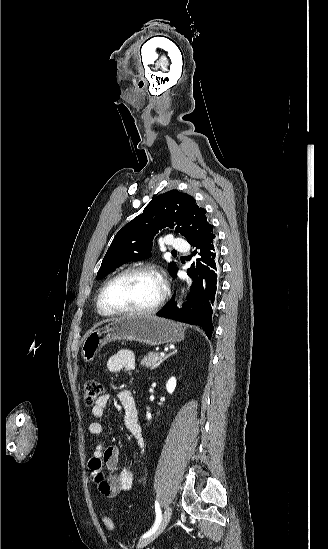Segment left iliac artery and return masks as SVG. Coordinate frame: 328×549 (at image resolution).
<instances>
[{
  "mask_svg": "<svg viewBox=\"0 0 328 549\" xmlns=\"http://www.w3.org/2000/svg\"><path fill=\"white\" fill-rule=\"evenodd\" d=\"M155 511H156V520H155V523L153 525V527L147 532L145 533L142 538H146L148 536H150L153 532H155V530L158 528L160 522H161V519H162V512H161V509H160V506H159V503L156 501L155 502Z\"/></svg>",
  "mask_w": 328,
  "mask_h": 549,
  "instance_id": "obj_1",
  "label": "left iliac artery"
}]
</instances>
